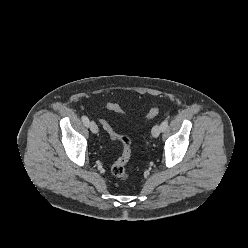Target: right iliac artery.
Masks as SVG:
<instances>
[{"label":"right iliac artery","instance_id":"right-iliac-artery-1","mask_svg":"<svg viewBox=\"0 0 248 248\" xmlns=\"http://www.w3.org/2000/svg\"><path fill=\"white\" fill-rule=\"evenodd\" d=\"M82 122H83V124L85 125V126H88V124H89V119H88V117L87 116H82Z\"/></svg>","mask_w":248,"mask_h":248}]
</instances>
